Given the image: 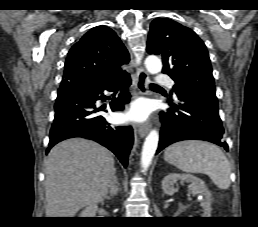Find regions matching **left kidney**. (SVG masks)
I'll list each match as a JSON object with an SVG mask.
<instances>
[{
	"label": "left kidney",
	"instance_id": "obj_1",
	"mask_svg": "<svg viewBox=\"0 0 258 227\" xmlns=\"http://www.w3.org/2000/svg\"><path fill=\"white\" fill-rule=\"evenodd\" d=\"M179 180L181 182L189 183V189L192 194L199 195V198L202 200L200 206L203 208V214L201 217H211V193L200 178L191 174L170 173L162 180V189L164 193L173 195L177 191L174 185Z\"/></svg>",
	"mask_w": 258,
	"mask_h": 227
}]
</instances>
